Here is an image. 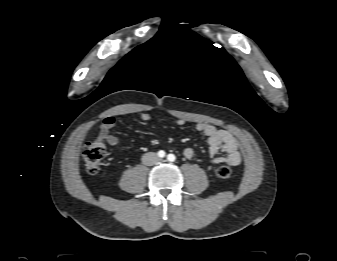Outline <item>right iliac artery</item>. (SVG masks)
I'll use <instances>...</instances> for the list:
<instances>
[{
    "mask_svg": "<svg viewBox=\"0 0 337 261\" xmlns=\"http://www.w3.org/2000/svg\"><path fill=\"white\" fill-rule=\"evenodd\" d=\"M158 156H159V157H164V156H165V152H164L163 150H160V151L158 152Z\"/></svg>",
    "mask_w": 337,
    "mask_h": 261,
    "instance_id": "right-iliac-artery-1",
    "label": "right iliac artery"
}]
</instances>
